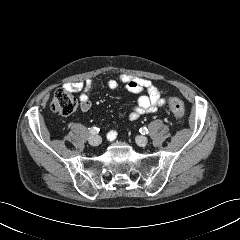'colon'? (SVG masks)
<instances>
[{"mask_svg":"<svg viewBox=\"0 0 240 240\" xmlns=\"http://www.w3.org/2000/svg\"><path fill=\"white\" fill-rule=\"evenodd\" d=\"M78 106L77 99L67 89L59 88L55 91L51 103L53 112L62 116H68L74 113ZM169 108L176 118L182 119L184 117L185 107L180 99L171 97L169 99Z\"/></svg>","mask_w":240,"mask_h":240,"instance_id":"colon-1","label":"colon"}]
</instances>
